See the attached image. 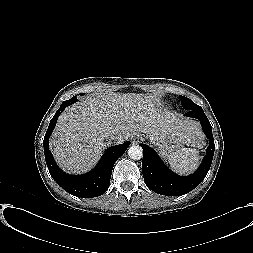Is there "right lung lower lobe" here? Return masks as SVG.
<instances>
[{
  "mask_svg": "<svg viewBox=\"0 0 253 253\" xmlns=\"http://www.w3.org/2000/svg\"><path fill=\"white\" fill-rule=\"evenodd\" d=\"M76 101H78V99L73 97L70 100L63 102L54 117L51 119L43 141L45 159L53 179L68 193L83 198L97 197L108 190L113 166L117 159L126 151L130 142L108 148L96 168L89 173L84 175H68L64 173L55 163L49 150L48 141L59 115L67 106Z\"/></svg>",
  "mask_w": 253,
  "mask_h": 253,
  "instance_id": "98d812e1",
  "label": "right lung lower lobe"
}]
</instances>
